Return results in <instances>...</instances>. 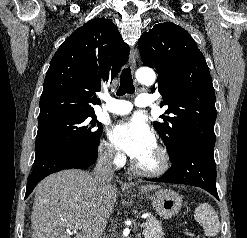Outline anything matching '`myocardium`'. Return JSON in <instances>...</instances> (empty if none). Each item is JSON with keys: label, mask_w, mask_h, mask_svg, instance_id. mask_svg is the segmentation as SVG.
Listing matches in <instances>:
<instances>
[{"label": "myocardium", "mask_w": 247, "mask_h": 238, "mask_svg": "<svg viewBox=\"0 0 247 238\" xmlns=\"http://www.w3.org/2000/svg\"><path fill=\"white\" fill-rule=\"evenodd\" d=\"M154 149L158 158L157 165L154 168H145L135 161L132 166L136 173L146 177H158L168 170L170 159L167 150L160 145H156Z\"/></svg>", "instance_id": "myocardium-1"}]
</instances>
